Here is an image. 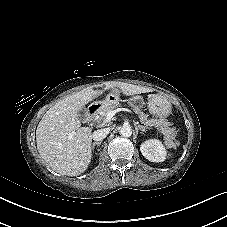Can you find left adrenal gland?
<instances>
[{"label": "left adrenal gland", "mask_w": 227, "mask_h": 227, "mask_svg": "<svg viewBox=\"0 0 227 227\" xmlns=\"http://www.w3.org/2000/svg\"><path fill=\"white\" fill-rule=\"evenodd\" d=\"M135 125L138 127V129L144 134L145 129H147V127L140 125L138 122L135 123Z\"/></svg>", "instance_id": "a2214340"}]
</instances>
